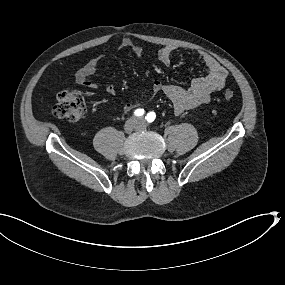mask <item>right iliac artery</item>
<instances>
[{
    "mask_svg": "<svg viewBox=\"0 0 285 285\" xmlns=\"http://www.w3.org/2000/svg\"><path fill=\"white\" fill-rule=\"evenodd\" d=\"M134 114L136 116H142L144 114V109H137Z\"/></svg>",
    "mask_w": 285,
    "mask_h": 285,
    "instance_id": "right-iliac-artery-1",
    "label": "right iliac artery"
}]
</instances>
